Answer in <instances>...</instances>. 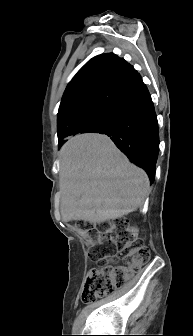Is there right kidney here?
Segmentation results:
<instances>
[{
	"label": "right kidney",
	"mask_w": 193,
	"mask_h": 336,
	"mask_svg": "<svg viewBox=\"0 0 193 336\" xmlns=\"http://www.w3.org/2000/svg\"><path fill=\"white\" fill-rule=\"evenodd\" d=\"M130 232L133 234V235H136L138 233V229L137 228H132L130 230Z\"/></svg>",
	"instance_id": "obj_1"
}]
</instances>
